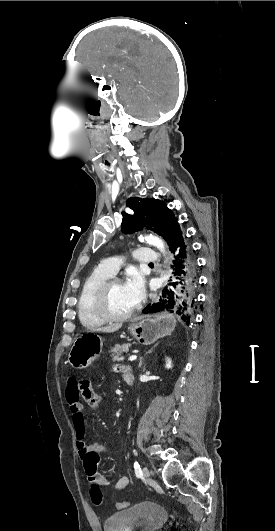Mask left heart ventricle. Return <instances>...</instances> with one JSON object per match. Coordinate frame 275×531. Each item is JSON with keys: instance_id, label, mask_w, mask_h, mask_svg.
Here are the masks:
<instances>
[{"instance_id": "left-heart-ventricle-1", "label": "left heart ventricle", "mask_w": 275, "mask_h": 531, "mask_svg": "<svg viewBox=\"0 0 275 531\" xmlns=\"http://www.w3.org/2000/svg\"><path fill=\"white\" fill-rule=\"evenodd\" d=\"M108 306L111 312L118 316L130 312L135 307L125 290L124 283H114L110 287Z\"/></svg>"}]
</instances>
